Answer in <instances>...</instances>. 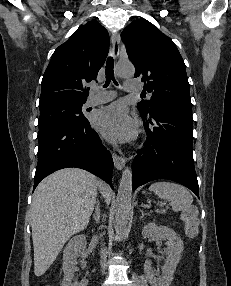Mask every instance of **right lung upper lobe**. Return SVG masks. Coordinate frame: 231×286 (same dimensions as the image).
I'll use <instances>...</instances> for the list:
<instances>
[{"label":"right lung upper lobe","mask_w":231,"mask_h":286,"mask_svg":"<svg viewBox=\"0 0 231 286\" xmlns=\"http://www.w3.org/2000/svg\"><path fill=\"white\" fill-rule=\"evenodd\" d=\"M109 50L107 30L97 21L80 27L53 53L43 75L39 106L86 101L85 82L97 78Z\"/></svg>","instance_id":"1"}]
</instances>
